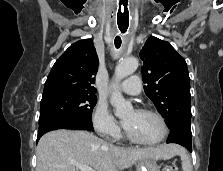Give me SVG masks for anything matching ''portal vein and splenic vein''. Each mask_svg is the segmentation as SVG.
I'll return each mask as SVG.
<instances>
[{"label":"portal vein and splenic vein","instance_id":"18ae733b","mask_svg":"<svg viewBox=\"0 0 223 171\" xmlns=\"http://www.w3.org/2000/svg\"><path fill=\"white\" fill-rule=\"evenodd\" d=\"M75 166L80 171H95L92 167L86 165L76 163Z\"/></svg>","mask_w":223,"mask_h":171}]
</instances>
